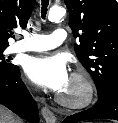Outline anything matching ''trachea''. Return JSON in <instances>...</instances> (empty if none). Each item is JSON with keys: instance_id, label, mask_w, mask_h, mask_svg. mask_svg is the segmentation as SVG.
Listing matches in <instances>:
<instances>
[{"instance_id": "trachea-1", "label": "trachea", "mask_w": 118, "mask_h": 123, "mask_svg": "<svg viewBox=\"0 0 118 123\" xmlns=\"http://www.w3.org/2000/svg\"><path fill=\"white\" fill-rule=\"evenodd\" d=\"M41 5H42V7H41V16H42L43 19H45L46 13H47V8H48V5H49V0H42Z\"/></svg>"}]
</instances>
